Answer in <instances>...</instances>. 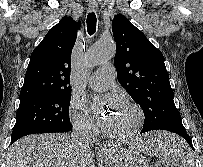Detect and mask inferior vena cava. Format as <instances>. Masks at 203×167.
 <instances>
[{
    "label": "inferior vena cava",
    "instance_id": "602c4592",
    "mask_svg": "<svg viewBox=\"0 0 203 167\" xmlns=\"http://www.w3.org/2000/svg\"><path fill=\"white\" fill-rule=\"evenodd\" d=\"M92 132L86 124L76 125L72 133V139L76 146L81 149L89 148L92 142Z\"/></svg>",
    "mask_w": 203,
    "mask_h": 167
}]
</instances>
